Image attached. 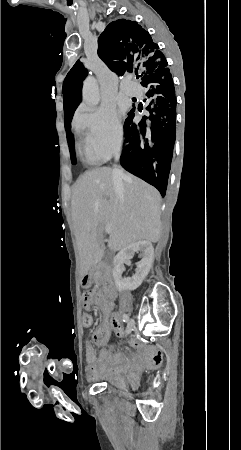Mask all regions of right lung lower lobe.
Listing matches in <instances>:
<instances>
[{
  "instance_id": "98d812e1",
  "label": "right lung lower lobe",
  "mask_w": 241,
  "mask_h": 450,
  "mask_svg": "<svg viewBox=\"0 0 241 450\" xmlns=\"http://www.w3.org/2000/svg\"><path fill=\"white\" fill-rule=\"evenodd\" d=\"M141 85L147 88L149 98L146 110L149 120L134 124V109L124 123V143L120 158L122 167L159 190L165 196L173 147L176 139V95L168 62L146 68L141 74ZM74 111L64 116L65 130L74 147L70 123Z\"/></svg>"
}]
</instances>
